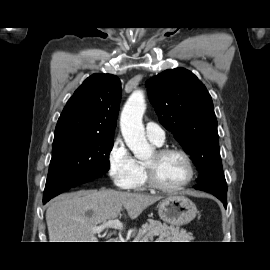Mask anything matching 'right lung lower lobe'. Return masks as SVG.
I'll list each match as a JSON object with an SVG mask.
<instances>
[{
	"label": "right lung lower lobe",
	"instance_id": "1",
	"mask_svg": "<svg viewBox=\"0 0 270 270\" xmlns=\"http://www.w3.org/2000/svg\"><path fill=\"white\" fill-rule=\"evenodd\" d=\"M54 180H52V182H53ZM65 182H64V187H65V189H66V191L68 190V189H70L71 187H75V186H77V185H81V184H84V183H86V182H82V183H79V184H76L75 186H73L71 183H70V181L69 180H67V179H65L64 180ZM48 184V181H46V185ZM56 196V195H55ZM54 195H46V194H44L43 195V204H45L46 202H48L51 198H53V197H55Z\"/></svg>",
	"mask_w": 270,
	"mask_h": 270
}]
</instances>
